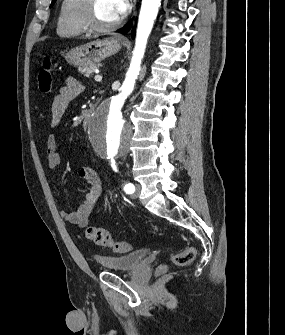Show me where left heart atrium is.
Masks as SVG:
<instances>
[{
  "label": "left heart atrium",
  "mask_w": 285,
  "mask_h": 335,
  "mask_svg": "<svg viewBox=\"0 0 285 335\" xmlns=\"http://www.w3.org/2000/svg\"><path fill=\"white\" fill-rule=\"evenodd\" d=\"M128 10V1H115L117 20L125 16Z\"/></svg>",
  "instance_id": "obj_1"
}]
</instances>
